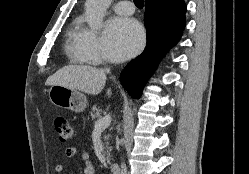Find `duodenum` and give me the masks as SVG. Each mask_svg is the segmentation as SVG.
<instances>
[{
  "mask_svg": "<svg viewBox=\"0 0 249 174\" xmlns=\"http://www.w3.org/2000/svg\"><path fill=\"white\" fill-rule=\"evenodd\" d=\"M111 174H120V166L118 163H112L110 165Z\"/></svg>",
  "mask_w": 249,
  "mask_h": 174,
  "instance_id": "410a0bca",
  "label": "duodenum"
}]
</instances>
